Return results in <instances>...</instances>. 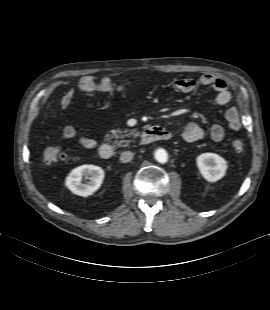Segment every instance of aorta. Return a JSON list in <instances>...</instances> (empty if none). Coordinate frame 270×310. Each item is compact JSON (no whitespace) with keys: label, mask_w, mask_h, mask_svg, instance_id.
<instances>
[{"label":"aorta","mask_w":270,"mask_h":310,"mask_svg":"<svg viewBox=\"0 0 270 310\" xmlns=\"http://www.w3.org/2000/svg\"><path fill=\"white\" fill-rule=\"evenodd\" d=\"M155 159L159 162V163H166L168 160V154L166 152V150L160 148L158 150L155 151Z\"/></svg>","instance_id":"aorta-1"}]
</instances>
